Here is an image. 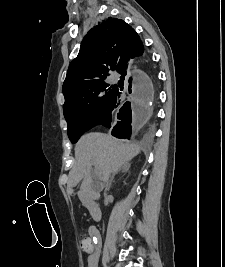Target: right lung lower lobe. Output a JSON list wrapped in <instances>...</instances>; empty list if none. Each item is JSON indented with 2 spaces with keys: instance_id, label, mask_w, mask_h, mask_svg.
<instances>
[{
  "instance_id": "obj_1",
  "label": "right lung lower lobe",
  "mask_w": 225,
  "mask_h": 267,
  "mask_svg": "<svg viewBox=\"0 0 225 267\" xmlns=\"http://www.w3.org/2000/svg\"><path fill=\"white\" fill-rule=\"evenodd\" d=\"M144 51L142 42L138 43L132 50H130L128 52V54L126 55L124 62L121 66V68L117 71L118 73L122 74V77L124 78V76L129 75L131 70H132V66H133V59L135 57H140L142 56ZM144 81L147 84V86H149L151 88L152 86V82L149 76L144 75ZM129 82H131V78L129 79ZM122 88H119L117 86V90L115 95L113 96V99L108 107V109L105 111V113L102 115V117L100 118V120L96 123L95 126H105L108 128L113 127V131H112V135L118 137V138H129L130 134H131V128L128 124H126L124 121L125 119L121 118L123 121L120 122L119 124L113 126V115H112V111L114 109H116L120 104H121V95H122ZM129 92H131V84L129 85ZM133 92L134 94H140L139 89L136 85V82H134L133 85ZM119 115V114H118ZM119 118V116H118Z\"/></svg>"
}]
</instances>
